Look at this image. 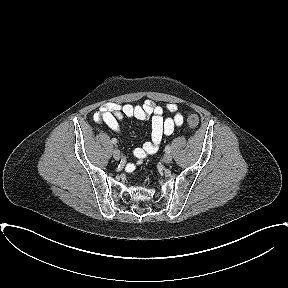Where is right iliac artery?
Returning a JSON list of instances; mask_svg holds the SVG:
<instances>
[{"mask_svg":"<svg viewBox=\"0 0 288 288\" xmlns=\"http://www.w3.org/2000/svg\"><path fill=\"white\" fill-rule=\"evenodd\" d=\"M111 142H112L113 144H116V143H117V139H116V138H113V139L111 140Z\"/></svg>","mask_w":288,"mask_h":288,"instance_id":"82829eb1","label":"right iliac artery"}]
</instances>
